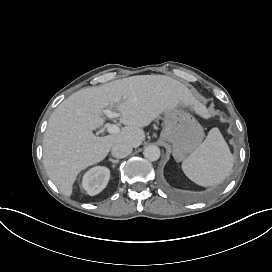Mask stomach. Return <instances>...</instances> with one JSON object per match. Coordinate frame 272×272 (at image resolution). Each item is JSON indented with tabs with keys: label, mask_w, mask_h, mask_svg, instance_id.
Returning <instances> with one entry per match:
<instances>
[{
	"label": "stomach",
	"mask_w": 272,
	"mask_h": 272,
	"mask_svg": "<svg viewBox=\"0 0 272 272\" xmlns=\"http://www.w3.org/2000/svg\"><path fill=\"white\" fill-rule=\"evenodd\" d=\"M161 138L173 146V157L179 162L201 144L204 131L199 122L187 111L173 108L164 112Z\"/></svg>",
	"instance_id": "0dacf381"
}]
</instances>
